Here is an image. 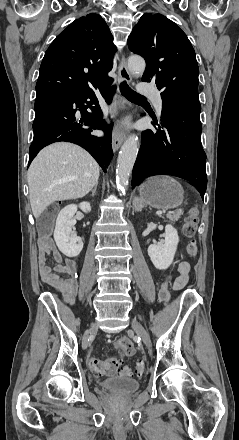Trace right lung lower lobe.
Here are the masks:
<instances>
[{
	"label": "right lung lower lobe",
	"instance_id": "obj_1",
	"mask_svg": "<svg viewBox=\"0 0 239 440\" xmlns=\"http://www.w3.org/2000/svg\"><path fill=\"white\" fill-rule=\"evenodd\" d=\"M112 81L110 78L87 90L37 94L33 122L34 138L29 149V164L43 147L58 141H68L86 149L106 172L113 155L112 127L102 119L103 114L98 105L94 88H99L102 96L110 104L115 90L114 86L110 87ZM85 103L90 106L96 104V108L90 107L92 113L85 110ZM76 108H79L81 112L82 118L80 120L75 115ZM92 129L103 130L105 138L92 135Z\"/></svg>",
	"mask_w": 239,
	"mask_h": 440
}]
</instances>
